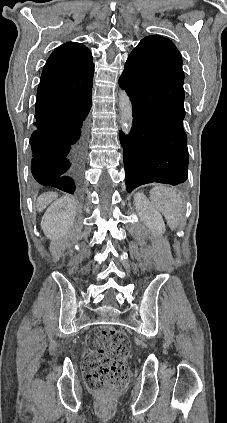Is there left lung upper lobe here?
Returning <instances> with one entry per match:
<instances>
[{
    "label": "left lung upper lobe",
    "mask_w": 227,
    "mask_h": 423,
    "mask_svg": "<svg viewBox=\"0 0 227 423\" xmlns=\"http://www.w3.org/2000/svg\"><path fill=\"white\" fill-rule=\"evenodd\" d=\"M119 79L149 90L152 104L163 112L184 110L182 57L167 38H143L130 53Z\"/></svg>",
    "instance_id": "left-lung-upper-lobe-1"
}]
</instances>
